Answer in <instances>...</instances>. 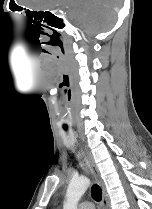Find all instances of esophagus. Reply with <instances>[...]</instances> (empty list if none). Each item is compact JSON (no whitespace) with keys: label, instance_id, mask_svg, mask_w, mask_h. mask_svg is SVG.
I'll return each mask as SVG.
<instances>
[{"label":"esophagus","instance_id":"obj_1","mask_svg":"<svg viewBox=\"0 0 152 209\" xmlns=\"http://www.w3.org/2000/svg\"><path fill=\"white\" fill-rule=\"evenodd\" d=\"M81 152H82V154L84 156V159H85L88 171L93 176V178L98 183V185L101 187L103 209H110L104 182H103V180H102V178L100 176L99 170H98V168H97V166H96V164L94 162V159H93V156H92L90 150L88 149L87 146L82 144L81 145Z\"/></svg>","mask_w":152,"mask_h":209}]
</instances>
